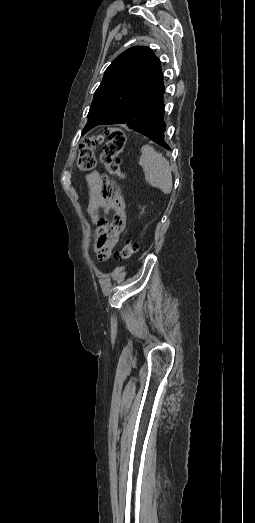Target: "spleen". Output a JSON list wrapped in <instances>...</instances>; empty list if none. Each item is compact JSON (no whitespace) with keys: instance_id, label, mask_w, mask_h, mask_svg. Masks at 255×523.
Segmentation results:
<instances>
[{"instance_id":"obj_1","label":"spleen","mask_w":255,"mask_h":523,"mask_svg":"<svg viewBox=\"0 0 255 523\" xmlns=\"http://www.w3.org/2000/svg\"><path fill=\"white\" fill-rule=\"evenodd\" d=\"M142 166L145 180L154 188H160L164 194L172 190V176L168 160L155 152L152 146H142L138 162Z\"/></svg>"}]
</instances>
